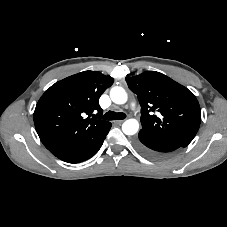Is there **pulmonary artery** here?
Wrapping results in <instances>:
<instances>
[{
	"label": "pulmonary artery",
	"instance_id": "1",
	"mask_svg": "<svg viewBox=\"0 0 227 227\" xmlns=\"http://www.w3.org/2000/svg\"><path fill=\"white\" fill-rule=\"evenodd\" d=\"M131 108L135 109V104L134 103L131 104Z\"/></svg>",
	"mask_w": 227,
	"mask_h": 227
}]
</instances>
